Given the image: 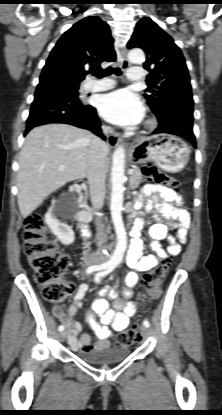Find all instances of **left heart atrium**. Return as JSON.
Listing matches in <instances>:
<instances>
[{
    "instance_id": "left-heart-atrium-1",
    "label": "left heart atrium",
    "mask_w": 222,
    "mask_h": 415,
    "mask_svg": "<svg viewBox=\"0 0 222 415\" xmlns=\"http://www.w3.org/2000/svg\"><path fill=\"white\" fill-rule=\"evenodd\" d=\"M99 112L107 121L124 127L137 125L143 118L140 98L128 89H120L101 97Z\"/></svg>"
}]
</instances>
